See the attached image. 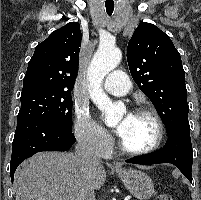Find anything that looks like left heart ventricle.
Returning <instances> with one entry per match:
<instances>
[{
    "mask_svg": "<svg viewBox=\"0 0 201 200\" xmlns=\"http://www.w3.org/2000/svg\"><path fill=\"white\" fill-rule=\"evenodd\" d=\"M115 125L121 128V138L127 147L141 150L151 146L158 135L155 122L146 115L123 113Z\"/></svg>",
    "mask_w": 201,
    "mask_h": 200,
    "instance_id": "obj_1",
    "label": "left heart ventricle"
}]
</instances>
